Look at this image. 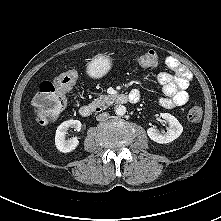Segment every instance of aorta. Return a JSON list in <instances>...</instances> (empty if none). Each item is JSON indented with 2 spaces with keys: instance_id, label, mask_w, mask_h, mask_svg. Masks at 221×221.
Wrapping results in <instances>:
<instances>
[{
  "instance_id": "762f6f07",
  "label": "aorta",
  "mask_w": 221,
  "mask_h": 221,
  "mask_svg": "<svg viewBox=\"0 0 221 221\" xmlns=\"http://www.w3.org/2000/svg\"><path fill=\"white\" fill-rule=\"evenodd\" d=\"M115 113L118 116H123L126 113V107L124 105H116L115 106Z\"/></svg>"
}]
</instances>
